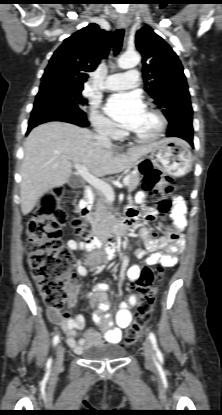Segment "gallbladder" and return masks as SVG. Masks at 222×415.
<instances>
[{
	"mask_svg": "<svg viewBox=\"0 0 222 415\" xmlns=\"http://www.w3.org/2000/svg\"><path fill=\"white\" fill-rule=\"evenodd\" d=\"M67 184L71 187V188H78L82 185V179L78 176L75 175H71L68 179Z\"/></svg>",
	"mask_w": 222,
	"mask_h": 415,
	"instance_id": "1",
	"label": "gallbladder"
}]
</instances>
